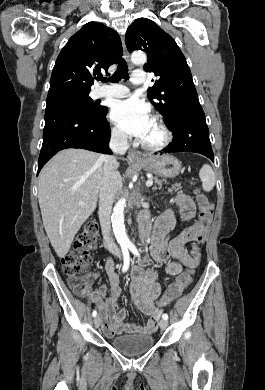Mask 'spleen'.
Instances as JSON below:
<instances>
[{
  "label": "spleen",
  "instance_id": "3e777b00",
  "mask_svg": "<svg viewBox=\"0 0 265 390\" xmlns=\"http://www.w3.org/2000/svg\"><path fill=\"white\" fill-rule=\"evenodd\" d=\"M199 177L202 182V188L204 191L209 192L215 186V174L210 165L204 164L199 171Z\"/></svg>",
  "mask_w": 265,
  "mask_h": 390
}]
</instances>
